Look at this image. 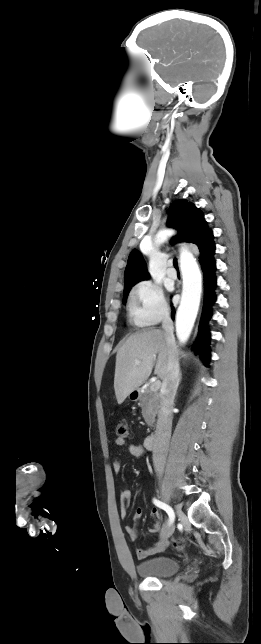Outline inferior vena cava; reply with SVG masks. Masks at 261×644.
<instances>
[{
    "label": "inferior vena cava",
    "mask_w": 261,
    "mask_h": 644,
    "mask_svg": "<svg viewBox=\"0 0 261 644\" xmlns=\"http://www.w3.org/2000/svg\"><path fill=\"white\" fill-rule=\"evenodd\" d=\"M162 328L168 345L171 347L167 375L161 388L160 407L153 444V464L159 474L164 472L172 428V408L180 379L177 348L173 334V322L168 312L163 316Z\"/></svg>",
    "instance_id": "inferior-vena-cava-1"
}]
</instances>
